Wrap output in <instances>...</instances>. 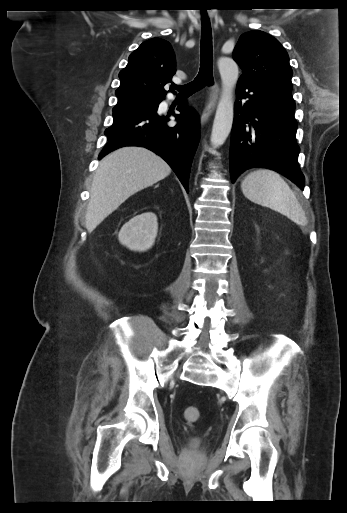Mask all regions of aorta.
<instances>
[{
    "instance_id": "762f6f07",
    "label": "aorta",
    "mask_w": 347,
    "mask_h": 513,
    "mask_svg": "<svg viewBox=\"0 0 347 513\" xmlns=\"http://www.w3.org/2000/svg\"><path fill=\"white\" fill-rule=\"evenodd\" d=\"M218 69L222 89L210 138L213 148L223 145L231 132L234 118L233 92L239 78L238 65L232 59L220 58Z\"/></svg>"
}]
</instances>
